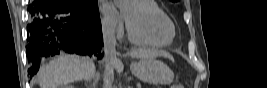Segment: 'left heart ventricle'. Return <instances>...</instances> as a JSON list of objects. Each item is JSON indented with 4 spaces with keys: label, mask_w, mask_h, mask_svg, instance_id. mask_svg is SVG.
Segmentation results:
<instances>
[{
    "label": "left heart ventricle",
    "mask_w": 267,
    "mask_h": 88,
    "mask_svg": "<svg viewBox=\"0 0 267 88\" xmlns=\"http://www.w3.org/2000/svg\"><path fill=\"white\" fill-rule=\"evenodd\" d=\"M125 15L132 26L145 30L154 35L168 38L171 35V28L165 21L154 19L150 13L130 3L125 8Z\"/></svg>",
    "instance_id": "b2bd125f"
}]
</instances>
